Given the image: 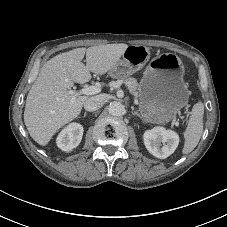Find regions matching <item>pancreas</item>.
<instances>
[{"mask_svg": "<svg viewBox=\"0 0 227 227\" xmlns=\"http://www.w3.org/2000/svg\"><path fill=\"white\" fill-rule=\"evenodd\" d=\"M122 82L128 87L131 94H133L136 97L138 96L137 89L139 87V84L137 83V80L135 78L132 77L125 78L122 79Z\"/></svg>", "mask_w": 227, "mask_h": 227, "instance_id": "1", "label": "pancreas"}]
</instances>
